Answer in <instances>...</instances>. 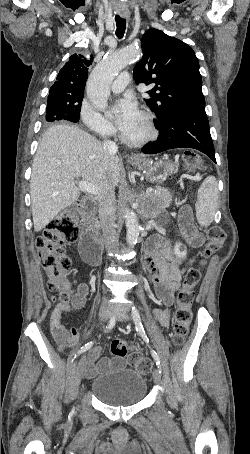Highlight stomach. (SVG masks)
<instances>
[{
  "instance_id": "1",
  "label": "stomach",
  "mask_w": 250,
  "mask_h": 454,
  "mask_svg": "<svg viewBox=\"0 0 250 454\" xmlns=\"http://www.w3.org/2000/svg\"><path fill=\"white\" fill-rule=\"evenodd\" d=\"M132 166L146 173L150 181L158 182L166 179L169 175L177 172V166L168 158H162L153 162L150 158L137 156L130 160Z\"/></svg>"
}]
</instances>
